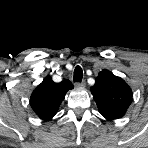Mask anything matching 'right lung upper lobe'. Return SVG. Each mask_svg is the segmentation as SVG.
<instances>
[{
  "mask_svg": "<svg viewBox=\"0 0 148 148\" xmlns=\"http://www.w3.org/2000/svg\"><path fill=\"white\" fill-rule=\"evenodd\" d=\"M73 87L69 80L55 83L50 76H46L31 94L30 105L33 111L40 119L51 120L57 113L67 91Z\"/></svg>",
  "mask_w": 148,
  "mask_h": 148,
  "instance_id": "1",
  "label": "right lung upper lobe"
}]
</instances>
